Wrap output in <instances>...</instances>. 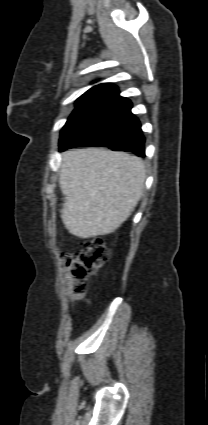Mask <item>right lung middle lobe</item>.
Here are the masks:
<instances>
[{"label": "right lung middle lobe", "instance_id": "right-lung-middle-lobe-1", "mask_svg": "<svg viewBox=\"0 0 208 425\" xmlns=\"http://www.w3.org/2000/svg\"><path fill=\"white\" fill-rule=\"evenodd\" d=\"M97 96H98V94H95V93H85L82 96H80L78 98L77 102H76V109L74 110V112L72 113V115L76 111H78L79 109H81L83 106H85L87 103H89L90 101L94 100Z\"/></svg>", "mask_w": 208, "mask_h": 425}]
</instances>
